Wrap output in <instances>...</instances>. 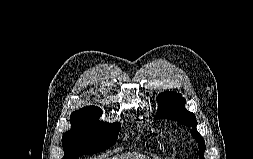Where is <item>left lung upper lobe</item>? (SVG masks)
<instances>
[{
	"label": "left lung upper lobe",
	"mask_w": 253,
	"mask_h": 159,
	"mask_svg": "<svg viewBox=\"0 0 253 159\" xmlns=\"http://www.w3.org/2000/svg\"><path fill=\"white\" fill-rule=\"evenodd\" d=\"M159 108L155 115L158 119H171L177 120L180 123L191 128V134L198 142L199 157L204 159V151L206 149L203 137L197 132V120L193 113L185 109V98L181 94L176 92H163L157 97Z\"/></svg>",
	"instance_id": "left-lung-upper-lobe-1"
}]
</instances>
